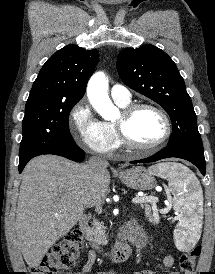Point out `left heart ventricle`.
Listing matches in <instances>:
<instances>
[{
    "label": "left heart ventricle",
    "instance_id": "left-heart-ventricle-1",
    "mask_svg": "<svg viewBox=\"0 0 215 274\" xmlns=\"http://www.w3.org/2000/svg\"><path fill=\"white\" fill-rule=\"evenodd\" d=\"M126 130L133 142L149 145L162 137L165 127L162 118L155 111L142 109L130 118Z\"/></svg>",
    "mask_w": 215,
    "mask_h": 274
}]
</instances>
